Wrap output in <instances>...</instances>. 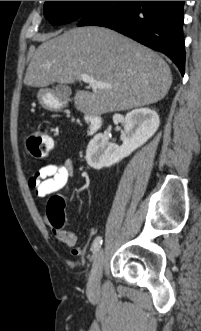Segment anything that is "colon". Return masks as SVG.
Wrapping results in <instances>:
<instances>
[{
	"instance_id": "5ec220e1",
	"label": "colon",
	"mask_w": 201,
	"mask_h": 331,
	"mask_svg": "<svg viewBox=\"0 0 201 331\" xmlns=\"http://www.w3.org/2000/svg\"><path fill=\"white\" fill-rule=\"evenodd\" d=\"M27 148L30 154L38 160L46 158L52 149L51 137L40 130L31 131L26 140ZM62 204V198L60 196H54L49 203L52 211L57 210Z\"/></svg>"
}]
</instances>
